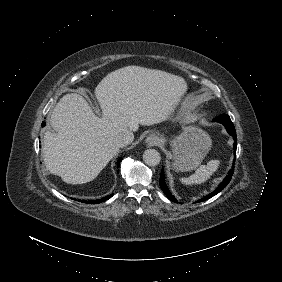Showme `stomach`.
Here are the masks:
<instances>
[{
  "instance_id": "obj_1",
  "label": "stomach",
  "mask_w": 282,
  "mask_h": 282,
  "mask_svg": "<svg viewBox=\"0 0 282 282\" xmlns=\"http://www.w3.org/2000/svg\"><path fill=\"white\" fill-rule=\"evenodd\" d=\"M171 151L169 163L174 172H187L196 169L212 149L210 134L195 125H188L183 131L166 139ZM163 142V143H164Z\"/></svg>"
}]
</instances>
